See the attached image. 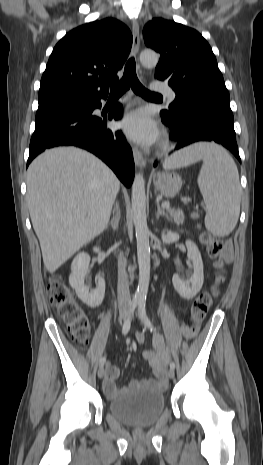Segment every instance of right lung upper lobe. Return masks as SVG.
I'll return each mask as SVG.
<instances>
[{
  "label": "right lung upper lobe",
  "mask_w": 263,
  "mask_h": 465,
  "mask_svg": "<svg viewBox=\"0 0 263 465\" xmlns=\"http://www.w3.org/2000/svg\"><path fill=\"white\" fill-rule=\"evenodd\" d=\"M132 40L128 27L113 18L71 30L52 51L38 101L107 96V85L118 80L117 71L130 53Z\"/></svg>",
  "instance_id": "cb5924a9"
}]
</instances>
